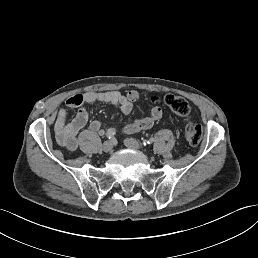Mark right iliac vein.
<instances>
[{
	"label": "right iliac vein",
	"mask_w": 258,
	"mask_h": 258,
	"mask_svg": "<svg viewBox=\"0 0 258 258\" xmlns=\"http://www.w3.org/2000/svg\"><path fill=\"white\" fill-rule=\"evenodd\" d=\"M102 149H103V151L106 152V153L111 152L112 149H113V144H112V142L107 141V142L103 143Z\"/></svg>",
	"instance_id": "right-iliac-vein-1"
}]
</instances>
